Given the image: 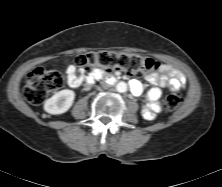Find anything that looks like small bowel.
I'll return each instance as SVG.
<instances>
[{
	"label": "small bowel",
	"instance_id": "c3829d8e",
	"mask_svg": "<svg viewBox=\"0 0 222 187\" xmlns=\"http://www.w3.org/2000/svg\"><path fill=\"white\" fill-rule=\"evenodd\" d=\"M66 74L67 83L71 87H79L85 79L84 74L73 65L67 67ZM145 80L153 87L149 89L146 94L147 102L142 107L141 113L144 119L151 121L156 118L161 110L159 99L162 93L160 87L179 90L185 87L186 79L180 71L172 68L168 64H162L159 66L157 72L147 74ZM130 87L135 96H140L143 93V86L137 80H133Z\"/></svg>",
	"mask_w": 222,
	"mask_h": 187
}]
</instances>
